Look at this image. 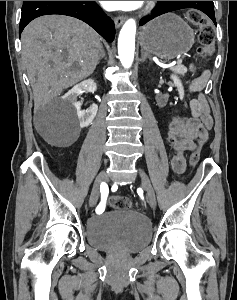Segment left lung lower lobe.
Returning <instances> with one entry per match:
<instances>
[{
    "mask_svg": "<svg viewBox=\"0 0 237 300\" xmlns=\"http://www.w3.org/2000/svg\"><path fill=\"white\" fill-rule=\"evenodd\" d=\"M167 5L169 6L168 12L184 8H195L201 10L207 14L216 25L213 1H168Z\"/></svg>",
    "mask_w": 237,
    "mask_h": 300,
    "instance_id": "obj_1",
    "label": "left lung lower lobe"
}]
</instances>
